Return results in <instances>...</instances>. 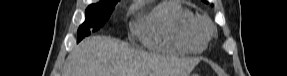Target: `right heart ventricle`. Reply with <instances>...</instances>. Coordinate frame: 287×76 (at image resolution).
<instances>
[{"mask_svg": "<svg viewBox=\"0 0 287 76\" xmlns=\"http://www.w3.org/2000/svg\"><path fill=\"white\" fill-rule=\"evenodd\" d=\"M198 17L179 1L158 5L135 27L141 42L148 48L174 53H198L206 46L198 32Z\"/></svg>", "mask_w": 287, "mask_h": 76, "instance_id": "right-heart-ventricle-1", "label": "right heart ventricle"}]
</instances>
